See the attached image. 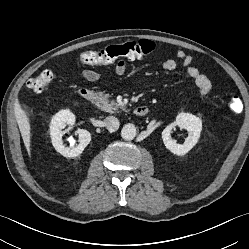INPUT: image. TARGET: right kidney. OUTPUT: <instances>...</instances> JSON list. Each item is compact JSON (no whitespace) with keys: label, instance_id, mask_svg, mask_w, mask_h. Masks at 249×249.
<instances>
[{"label":"right kidney","instance_id":"obj_1","mask_svg":"<svg viewBox=\"0 0 249 249\" xmlns=\"http://www.w3.org/2000/svg\"><path fill=\"white\" fill-rule=\"evenodd\" d=\"M75 116L69 110H61L56 113L50 123V135L53 147L57 152L65 157H76L80 155L85 147L91 141V135L87 130L77 129L75 134L79 136V144L75 147H67L63 144L62 137L66 131H63L66 125H69V132L71 126L75 123Z\"/></svg>","mask_w":249,"mask_h":249}]
</instances>
